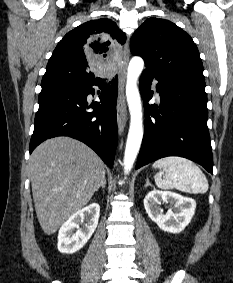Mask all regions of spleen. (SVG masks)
<instances>
[{"instance_id":"spleen-1","label":"spleen","mask_w":233,"mask_h":283,"mask_svg":"<svg viewBox=\"0 0 233 283\" xmlns=\"http://www.w3.org/2000/svg\"><path fill=\"white\" fill-rule=\"evenodd\" d=\"M155 184L160 189H177L187 193H206L208 181L201 169L192 161L181 157L169 156L154 162Z\"/></svg>"}]
</instances>
